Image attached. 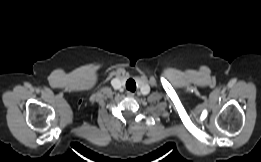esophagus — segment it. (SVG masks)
Masks as SVG:
<instances>
[{"mask_svg":"<svg viewBox=\"0 0 261 162\" xmlns=\"http://www.w3.org/2000/svg\"><path fill=\"white\" fill-rule=\"evenodd\" d=\"M129 96L133 97L134 95L133 94H129Z\"/></svg>","mask_w":261,"mask_h":162,"instance_id":"obj_1","label":"esophagus"}]
</instances>
